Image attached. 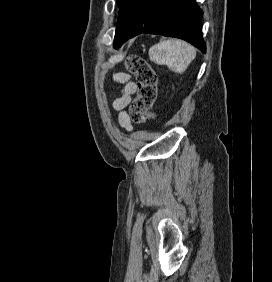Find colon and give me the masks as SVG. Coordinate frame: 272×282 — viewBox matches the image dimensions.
<instances>
[{"label":"colon","mask_w":272,"mask_h":282,"mask_svg":"<svg viewBox=\"0 0 272 282\" xmlns=\"http://www.w3.org/2000/svg\"><path fill=\"white\" fill-rule=\"evenodd\" d=\"M126 70L136 78L137 92L130 105V119L135 123H145L153 116L152 108L158 94V76L148 62L140 56L132 55L126 61Z\"/></svg>","instance_id":"1"}]
</instances>
